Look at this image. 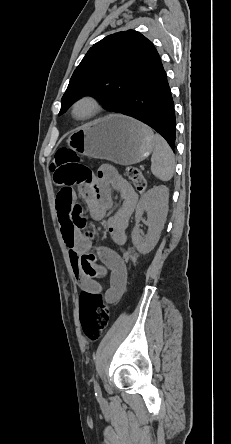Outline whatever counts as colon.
<instances>
[{"label": "colon", "instance_id": "obj_1", "mask_svg": "<svg viewBox=\"0 0 231 444\" xmlns=\"http://www.w3.org/2000/svg\"><path fill=\"white\" fill-rule=\"evenodd\" d=\"M50 170L56 183L69 188L88 182L92 177L90 169L83 165L78 155L69 148H61L56 152ZM126 174L139 192L145 191L146 179L138 168L129 166ZM75 213L76 226L85 232L86 220L82 217L79 206L75 209ZM123 255L130 263H133L137 257L136 251L131 246L124 248ZM80 319L83 331L90 340H97L102 336L110 320V310L103 302L101 294L87 291L81 293Z\"/></svg>", "mask_w": 231, "mask_h": 444}]
</instances>
